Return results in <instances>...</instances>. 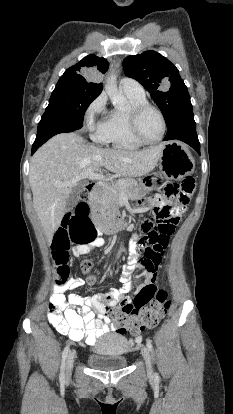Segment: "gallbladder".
I'll return each instance as SVG.
<instances>
[{
  "label": "gallbladder",
  "instance_id": "1",
  "mask_svg": "<svg viewBox=\"0 0 233 414\" xmlns=\"http://www.w3.org/2000/svg\"><path fill=\"white\" fill-rule=\"evenodd\" d=\"M84 186H85L84 182H80L73 186L72 191L65 203V207H64L65 212L71 211L77 205L79 201V193L82 191Z\"/></svg>",
  "mask_w": 233,
  "mask_h": 414
}]
</instances>
